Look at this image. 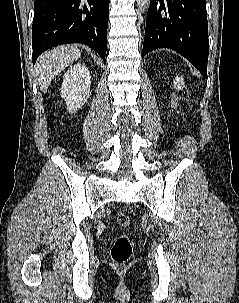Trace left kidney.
Returning <instances> with one entry per match:
<instances>
[{
	"mask_svg": "<svg viewBox=\"0 0 239 303\" xmlns=\"http://www.w3.org/2000/svg\"><path fill=\"white\" fill-rule=\"evenodd\" d=\"M173 86L179 91L182 90V86L184 85V80L182 77H176ZM176 98V97H175ZM178 100V97L176 98Z\"/></svg>",
	"mask_w": 239,
	"mask_h": 303,
	"instance_id": "5707ae66",
	"label": "left kidney"
}]
</instances>
